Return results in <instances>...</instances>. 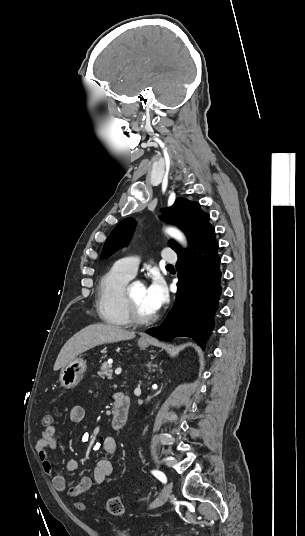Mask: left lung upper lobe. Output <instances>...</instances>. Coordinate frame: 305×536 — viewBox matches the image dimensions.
Returning a JSON list of instances; mask_svg holds the SVG:
<instances>
[{"instance_id":"obj_1","label":"left lung upper lobe","mask_w":305,"mask_h":536,"mask_svg":"<svg viewBox=\"0 0 305 536\" xmlns=\"http://www.w3.org/2000/svg\"><path fill=\"white\" fill-rule=\"evenodd\" d=\"M161 219L166 223L174 224L181 228L188 239L189 250L203 234L212 228L209 223V215L200 210L199 203L189 201L183 197L177 198L170 208L164 210ZM134 227L135 223L132 218H126L121 221L107 238L100 257H108L119 248L125 246L131 238ZM169 247L177 255L185 253L184 249L173 240L169 241Z\"/></svg>"}]
</instances>
